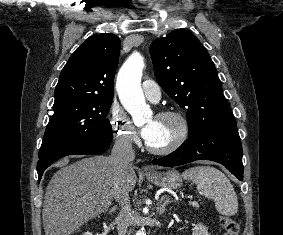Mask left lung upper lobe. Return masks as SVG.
<instances>
[{
	"label": "left lung upper lobe",
	"mask_w": 283,
	"mask_h": 235,
	"mask_svg": "<svg viewBox=\"0 0 283 235\" xmlns=\"http://www.w3.org/2000/svg\"><path fill=\"white\" fill-rule=\"evenodd\" d=\"M158 84L187 110L189 137L236 127L208 52L189 31L176 29L150 45Z\"/></svg>",
	"instance_id": "left-lung-upper-lobe-1"
}]
</instances>
